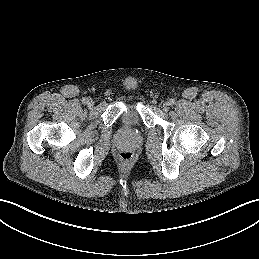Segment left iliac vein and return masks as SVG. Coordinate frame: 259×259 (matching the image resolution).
Masks as SVG:
<instances>
[{
	"instance_id": "1",
	"label": "left iliac vein",
	"mask_w": 259,
	"mask_h": 259,
	"mask_svg": "<svg viewBox=\"0 0 259 259\" xmlns=\"http://www.w3.org/2000/svg\"><path fill=\"white\" fill-rule=\"evenodd\" d=\"M169 106H170V104H169L168 102H165V103L163 104V106H162L163 111L167 112V111L169 110Z\"/></svg>"
}]
</instances>
